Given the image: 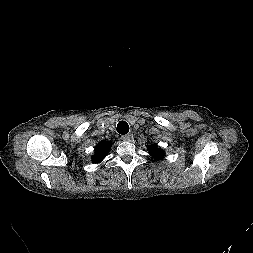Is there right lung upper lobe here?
Wrapping results in <instances>:
<instances>
[{
  "label": "right lung upper lobe",
  "instance_id": "obj_1",
  "mask_svg": "<svg viewBox=\"0 0 253 253\" xmlns=\"http://www.w3.org/2000/svg\"><path fill=\"white\" fill-rule=\"evenodd\" d=\"M111 148V142L102 141L95 148V155L92 157L94 163H99L104 159L106 154L109 152Z\"/></svg>",
  "mask_w": 253,
  "mask_h": 253
}]
</instances>
